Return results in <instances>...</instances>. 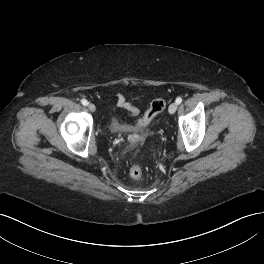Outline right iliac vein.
<instances>
[{
    "label": "right iliac vein",
    "instance_id": "obj_1",
    "mask_svg": "<svg viewBox=\"0 0 264 264\" xmlns=\"http://www.w3.org/2000/svg\"><path fill=\"white\" fill-rule=\"evenodd\" d=\"M88 109H89L91 112H95L96 107H95V105H94L93 103H89V104H88Z\"/></svg>",
    "mask_w": 264,
    "mask_h": 264
}]
</instances>
